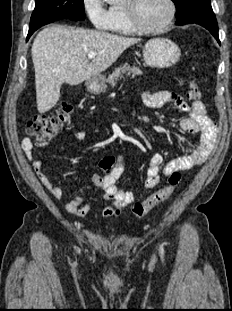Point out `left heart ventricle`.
<instances>
[{"instance_id":"1","label":"left heart ventricle","mask_w":232,"mask_h":311,"mask_svg":"<svg viewBox=\"0 0 232 311\" xmlns=\"http://www.w3.org/2000/svg\"><path fill=\"white\" fill-rule=\"evenodd\" d=\"M134 9L137 20L146 27L160 25L169 11L166 0H136Z\"/></svg>"}]
</instances>
